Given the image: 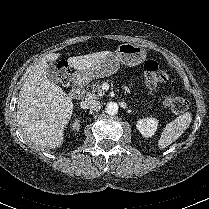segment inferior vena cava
Masks as SVG:
<instances>
[{"instance_id":"602c4592","label":"inferior vena cava","mask_w":209,"mask_h":209,"mask_svg":"<svg viewBox=\"0 0 209 209\" xmlns=\"http://www.w3.org/2000/svg\"><path fill=\"white\" fill-rule=\"evenodd\" d=\"M81 106L85 109H90L94 111H99L101 109V104L99 101L95 100H85L81 103Z\"/></svg>"}]
</instances>
